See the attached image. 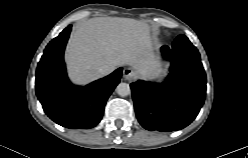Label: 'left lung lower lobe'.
Masks as SVG:
<instances>
[{
    "label": "left lung lower lobe",
    "mask_w": 248,
    "mask_h": 158,
    "mask_svg": "<svg viewBox=\"0 0 248 158\" xmlns=\"http://www.w3.org/2000/svg\"><path fill=\"white\" fill-rule=\"evenodd\" d=\"M162 54L171 62L166 81L139 80L130 86L140 124L150 131L167 132L186 127L198 115L205 99L206 75L199 52L190 41L163 46Z\"/></svg>",
    "instance_id": "0a47b994"
}]
</instances>
